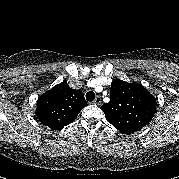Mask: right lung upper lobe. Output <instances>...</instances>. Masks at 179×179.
<instances>
[{"label": "right lung upper lobe", "instance_id": "right-lung-upper-lobe-1", "mask_svg": "<svg viewBox=\"0 0 179 179\" xmlns=\"http://www.w3.org/2000/svg\"><path fill=\"white\" fill-rule=\"evenodd\" d=\"M86 105L83 93L63 81L39 97L36 116L41 124L61 130L73 122Z\"/></svg>", "mask_w": 179, "mask_h": 179}]
</instances>
